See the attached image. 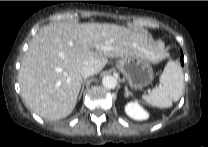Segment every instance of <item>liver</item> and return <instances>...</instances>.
<instances>
[{
    "instance_id": "obj_1",
    "label": "liver",
    "mask_w": 208,
    "mask_h": 147,
    "mask_svg": "<svg viewBox=\"0 0 208 147\" xmlns=\"http://www.w3.org/2000/svg\"><path fill=\"white\" fill-rule=\"evenodd\" d=\"M163 43L147 34L108 23H54L31 40L18 73L25 105L50 120L68 116L82 84L81 70L99 73L108 58L138 56L154 64L165 57Z\"/></svg>"
}]
</instances>
